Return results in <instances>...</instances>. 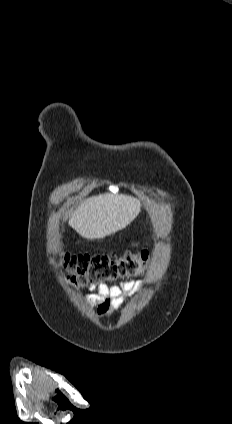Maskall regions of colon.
<instances>
[{"instance_id": "5ec220e1", "label": "colon", "mask_w": 232, "mask_h": 424, "mask_svg": "<svg viewBox=\"0 0 232 424\" xmlns=\"http://www.w3.org/2000/svg\"><path fill=\"white\" fill-rule=\"evenodd\" d=\"M151 254L148 251L134 253L125 251L121 255L112 252L92 254H63L62 267L71 283L87 287L139 275L146 270Z\"/></svg>"}]
</instances>
